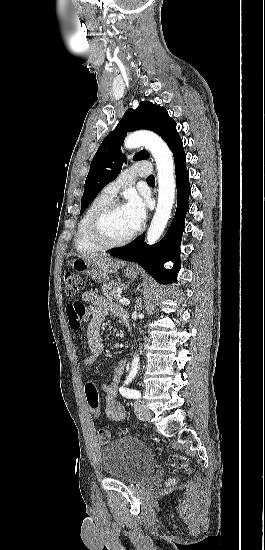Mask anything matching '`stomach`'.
Instances as JSON below:
<instances>
[{
	"label": "stomach",
	"instance_id": "0dacf381",
	"mask_svg": "<svg viewBox=\"0 0 265 550\" xmlns=\"http://www.w3.org/2000/svg\"><path fill=\"white\" fill-rule=\"evenodd\" d=\"M72 268L82 274L91 276L93 279L103 281L105 279V273L92 262L83 258H76L71 263ZM125 274L129 278H135L138 275V271L135 268H126Z\"/></svg>",
	"mask_w": 265,
	"mask_h": 550
}]
</instances>
